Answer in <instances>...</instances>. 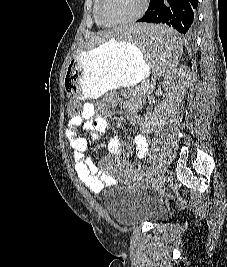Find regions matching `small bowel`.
Here are the masks:
<instances>
[{
  "mask_svg": "<svg viewBox=\"0 0 227 267\" xmlns=\"http://www.w3.org/2000/svg\"><path fill=\"white\" fill-rule=\"evenodd\" d=\"M106 112L104 107L86 103L82 106L79 115L69 118L64 128V136L71 147L77 177L94 192H100L104 187L116 183V178L110 174L99 173L95 164L86 156L88 142L85 137L81 136L79 127L83 125L93 139L105 134L110 126ZM127 112L129 120H137L139 115L137 104L127 102ZM127 146L134 151L139 159L145 158L148 154V140L141 133L132 135L127 141ZM120 148V139L113 137L109 141V149L115 157L119 156Z\"/></svg>",
  "mask_w": 227,
  "mask_h": 267,
  "instance_id": "c3829d8e",
  "label": "small bowel"
}]
</instances>
